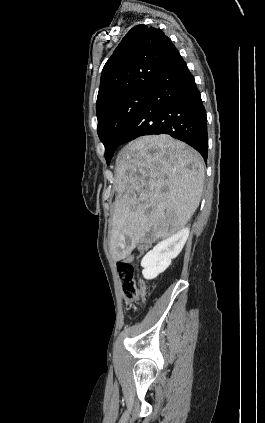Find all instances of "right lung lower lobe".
I'll return each mask as SVG.
<instances>
[{"mask_svg": "<svg viewBox=\"0 0 265 423\" xmlns=\"http://www.w3.org/2000/svg\"><path fill=\"white\" fill-rule=\"evenodd\" d=\"M151 134H169L189 144L207 161L205 108L194 77L179 53L153 85L117 145Z\"/></svg>", "mask_w": 265, "mask_h": 423, "instance_id": "right-lung-lower-lobe-1", "label": "right lung lower lobe"}]
</instances>
